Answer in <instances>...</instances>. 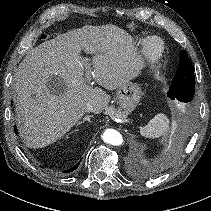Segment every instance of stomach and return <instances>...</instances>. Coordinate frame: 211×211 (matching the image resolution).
<instances>
[{"instance_id": "0dacf381", "label": "stomach", "mask_w": 211, "mask_h": 211, "mask_svg": "<svg viewBox=\"0 0 211 211\" xmlns=\"http://www.w3.org/2000/svg\"><path fill=\"white\" fill-rule=\"evenodd\" d=\"M141 96L142 91L138 84L130 81L122 84L117 89L120 110L125 114L131 113L139 103Z\"/></svg>"}]
</instances>
